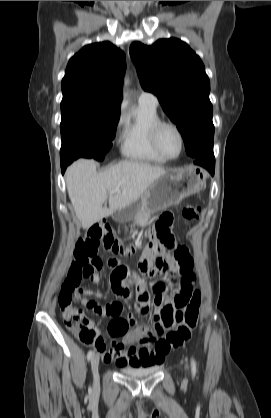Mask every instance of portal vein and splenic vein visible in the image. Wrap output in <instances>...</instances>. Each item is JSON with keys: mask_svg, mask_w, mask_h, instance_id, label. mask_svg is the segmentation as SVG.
Instances as JSON below:
<instances>
[{"mask_svg": "<svg viewBox=\"0 0 271 418\" xmlns=\"http://www.w3.org/2000/svg\"><path fill=\"white\" fill-rule=\"evenodd\" d=\"M114 192H115V190L110 191V193H114Z\"/></svg>", "mask_w": 271, "mask_h": 418, "instance_id": "obj_1", "label": "portal vein and splenic vein"}]
</instances>
